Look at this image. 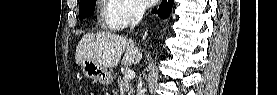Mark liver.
<instances>
[{
    "mask_svg": "<svg viewBox=\"0 0 277 95\" xmlns=\"http://www.w3.org/2000/svg\"><path fill=\"white\" fill-rule=\"evenodd\" d=\"M123 53L124 66L136 64L142 57L132 40L111 32H97L83 36L76 48L75 60L77 64L84 59L93 60L104 68H113Z\"/></svg>",
    "mask_w": 277,
    "mask_h": 95,
    "instance_id": "liver-1",
    "label": "liver"
}]
</instances>
